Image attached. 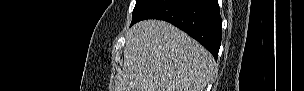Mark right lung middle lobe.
Wrapping results in <instances>:
<instances>
[{"label": "right lung middle lobe", "mask_w": 304, "mask_h": 91, "mask_svg": "<svg viewBox=\"0 0 304 91\" xmlns=\"http://www.w3.org/2000/svg\"><path fill=\"white\" fill-rule=\"evenodd\" d=\"M151 0H137L136 1V5L134 7L133 10V15H132V21H134L138 15L140 14V12L142 11V9L150 2Z\"/></svg>", "instance_id": "right-lung-middle-lobe-1"}]
</instances>
